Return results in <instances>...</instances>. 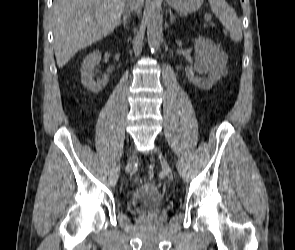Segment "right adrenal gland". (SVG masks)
<instances>
[{"mask_svg":"<svg viewBox=\"0 0 295 250\" xmlns=\"http://www.w3.org/2000/svg\"><path fill=\"white\" fill-rule=\"evenodd\" d=\"M129 17H130V15L128 13L124 14L122 22H120L118 25H120L122 23L124 26H127V20L129 19Z\"/></svg>","mask_w":295,"mask_h":250,"instance_id":"obj_1","label":"right adrenal gland"}]
</instances>
